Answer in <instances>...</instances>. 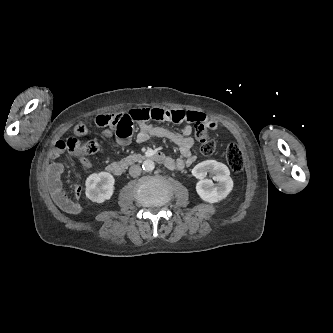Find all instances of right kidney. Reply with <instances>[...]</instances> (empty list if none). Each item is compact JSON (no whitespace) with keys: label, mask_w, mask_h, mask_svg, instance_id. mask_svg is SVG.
<instances>
[{"label":"right kidney","mask_w":333,"mask_h":333,"mask_svg":"<svg viewBox=\"0 0 333 333\" xmlns=\"http://www.w3.org/2000/svg\"><path fill=\"white\" fill-rule=\"evenodd\" d=\"M115 179L108 172L91 174L85 182V193L93 202L103 203L110 199L114 192Z\"/></svg>","instance_id":"ca27d5eb"}]
</instances>
